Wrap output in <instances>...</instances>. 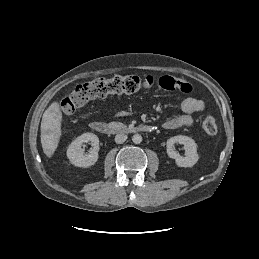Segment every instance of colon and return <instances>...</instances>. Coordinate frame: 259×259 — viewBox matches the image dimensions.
<instances>
[{"label":"colon","mask_w":259,"mask_h":259,"mask_svg":"<svg viewBox=\"0 0 259 259\" xmlns=\"http://www.w3.org/2000/svg\"><path fill=\"white\" fill-rule=\"evenodd\" d=\"M154 85L168 92H178L188 94L192 91V86L184 79L167 75L159 79L153 76H115L105 79L98 78L78 85L72 93L62 100L61 111L65 115H71L78 109L85 106L88 102L105 98L111 94H132L141 90H147ZM202 128L208 135L217 132V123L212 115H208L202 122Z\"/></svg>","instance_id":"1"}]
</instances>
